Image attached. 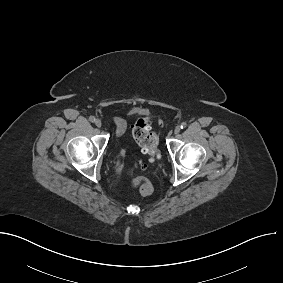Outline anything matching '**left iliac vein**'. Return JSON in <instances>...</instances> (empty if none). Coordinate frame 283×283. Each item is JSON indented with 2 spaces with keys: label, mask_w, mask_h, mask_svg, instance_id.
<instances>
[{
  "label": "left iliac vein",
  "mask_w": 283,
  "mask_h": 283,
  "mask_svg": "<svg viewBox=\"0 0 283 283\" xmlns=\"http://www.w3.org/2000/svg\"><path fill=\"white\" fill-rule=\"evenodd\" d=\"M179 132H180V127H179V126L175 127L174 133H175V134H178Z\"/></svg>",
  "instance_id": "4c4485c4"
}]
</instances>
